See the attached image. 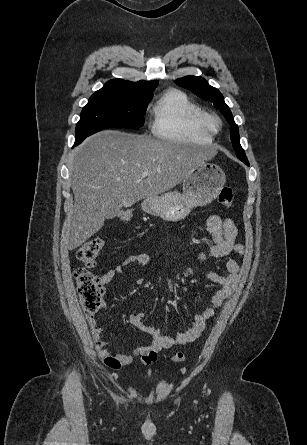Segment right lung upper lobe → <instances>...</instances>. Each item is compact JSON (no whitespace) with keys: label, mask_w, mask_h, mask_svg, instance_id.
Listing matches in <instances>:
<instances>
[{"label":"right lung upper lobe","mask_w":307,"mask_h":445,"mask_svg":"<svg viewBox=\"0 0 307 445\" xmlns=\"http://www.w3.org/2000/svg\"><path fill=\"white\" fill-rule=\"evenodd\" d=\"M158 85V81L129 82L122 79L109 80L102 89L96 91L94 95H113L119 97H131L139 99H152L153 91Z\"/></svg>","instance_id":"obj_1"}]
</instances>
